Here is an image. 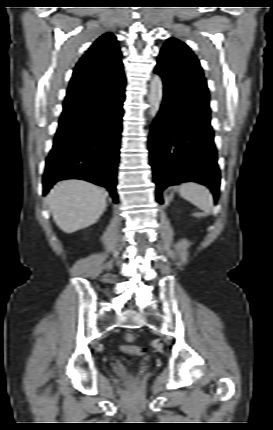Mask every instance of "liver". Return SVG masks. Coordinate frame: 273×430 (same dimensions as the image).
<instances>
[{"label": "liver", "instance_id": "1", "mask_svg": "<svg viewBox=\"0 0 273 430\" xmlns=\"http://www.w3.org/2000/svg\"><path fill=\"white\" fill-rule=\"evenodd\" d=\"M47 201L55 223L66 233L94 224L106 208L104 191L78 179L58 182Z\"/></svg>", "mask_w": 273, "mask_h": 430}]
</instances>
